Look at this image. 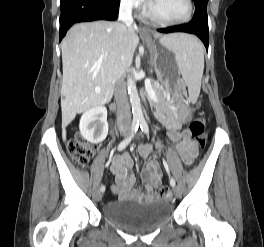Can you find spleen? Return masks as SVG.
<instances>
[{
    "mask_svg": "<svg viewBox=\"0 0 264 247\" xmlns=\"http://www.w3.org/2000/svg\"><path fill=\"white\" fill-rule=\"evenodd\" d=\"M178 69L192 100H196L201 89L204 71V48L198 39L188 34H177L169 40Z\"/></svg>",
    "mask_w": 264,
    "mask_h": 247,
    "instance_id": "spleen-1",
    "label": "spleen"
}]
</instances>
